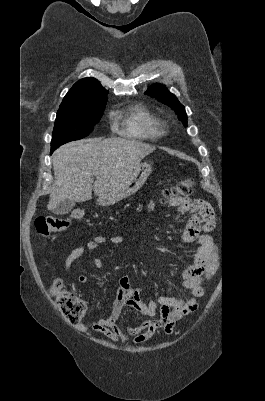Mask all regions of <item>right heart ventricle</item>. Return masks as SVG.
Instances as JSON below:
<instances>
[{
	"mask_svg": "<svg viewBox=\"0 0 265 401\" xmlns=\"http://www.w3.org/2000/svg\"><path fill=\"white\" fill-rule=\"evenodd\" d=\"M124 116V130L135 137H156L160 134L158 118L143 104L123 102L114 112Z\"/></svg>",
	"mask_w": 265,
	"mask_h": 401,
	"instance_id": "obj_1",
	"label": "right heart ventricle"
}]
</instances>
